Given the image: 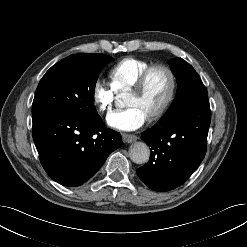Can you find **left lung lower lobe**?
Masks as SVG:
<instances>
[{"instance_id": "obj_1", "label": "left lung lower lobe", "mask_w": 247, "mask_h": 247, "mask_svg": "<svg viewBox=\"0 0 247 247\" xmlns=\"http://www.w3.org/2000/svg\"><path fill=\"white\" fill-rule=\"evenodd\" d=\"M210 120L208 96L197 97L182 110L165 114L141 134L151 147V156L137 169L139 178L160 192L182 185L205 156Z\"/></svg>"}]
</instances>
